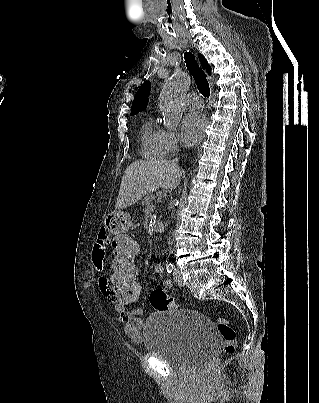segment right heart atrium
I'll list each match as a JSON object with an SVG mask.
<instances>
[{
	"mask_svg": "<svg viewBox=\"0 0 319 403\" xmlns=\"http://www.w3.org/2000/svg\"><path fill=\"white\" fill-rule=\"evenodd\" d=\"M164 146L166 154L176 153L180 147L178 134L171 130H164Z\"/></svg>",
	"mask_w": 319,
	"mask_h": 403,
	"instance_id": "right-heart-atrium-1",
	"label": "right heart atrium"
}]
</instances>
